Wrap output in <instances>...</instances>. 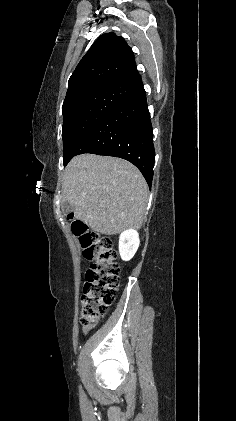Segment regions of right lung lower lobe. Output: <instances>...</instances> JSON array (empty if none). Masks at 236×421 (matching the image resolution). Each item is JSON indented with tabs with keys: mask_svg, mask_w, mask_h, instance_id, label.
I'll use <instances>...</instances> for the list:
<instances>
[{
	"mask_svg": "<svg viewBox=\"0 0 236 421\" xmlns=\"http://www.w3.org/2000/svg\"><path fill=\"white\" fill-rule=\"evenodd\" d=\"M121 87L128 95L82 137L73 157L93 153L123 158L141 171L151 187L155 150L146 92L140 74L137 72L128 77Z\"/></svg>",
	"mask_w": 236,
	"mask_h": 421,
	"instance_id": "98d812e1",
	"label": "right lung lower lobe"
}]
</instances>
